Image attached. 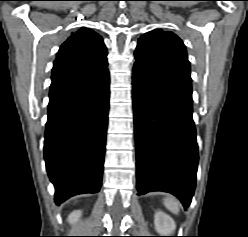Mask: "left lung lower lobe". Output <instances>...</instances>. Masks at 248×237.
<instances>
[{
    "label": "left lung lower lobe",
    "mask_w": 248,
    "mask_h": 237,
    "mask_svg": "<svg viewBox=\"0 0 248 237\" xmlns=\"http://www.w3.org/2000/svg\"><path fill=\"white\" fill-rule=\"evenodd\" d=\"M192 104L191 85L134 64L138 195L164 191L190 205L199 158Z\"/></svg>",
    "instance_id": "1"
}]
</instances>
